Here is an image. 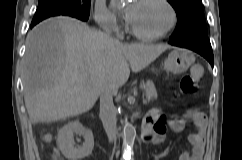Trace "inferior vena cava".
I'll use <instances>...</instances> for the list:
<instances>
[{
	"label": "inferior vena cava",
	"instance_id": "inferior-vena-cava-1",
	"mask_svg": "<svg viewBox=\"0 0 242 160\" xmlns=\"http://www.w3.org/2000/svg\"><path fill=\"white\" fill-rule=\"evenodd\" d=\"M105 33L110 37L111 29L109 27L104 28ZM111 38V37H110ZM115 42H119L117 39L111 38ZM108 76V80L110 79ZM99 117L103 123V127L107 134L109 142H116L117 138V126H116V108L113 103L112 87L109 81L102 82L100 86V114Z\"/></svg>",
	"mask_w": 242,
	"mask_h": 160
}]
</instances>
